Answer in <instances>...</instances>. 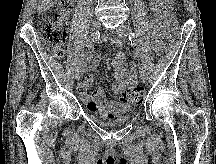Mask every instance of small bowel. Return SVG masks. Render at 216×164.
I'll list each match as a JSON object with an SVG mask.
<instances>
[{"label":"small bowel","mask_w":216,"mask_h":164,"mask_svg":"<svg viewBox=\"0 0 216 164\" xmlns=\"http://www.w3.org/2000/svg\"><path fill=\"white\" fill-rule=\"evenodd\" d=\"M174 0H150L153 13L151 20L153 46L157 51L162 49L166 25L173 10ZM95 65L94 59H89L83 66L89 70ZM116 83L112 86L113 93L119 97L117 102H108L102 88L89 92L92 77L88 76L78 85V92L87 109L102 119L113 118L131 109L125 101L126 92L137 84L135 64L127 65L123 52H118L112 62Z\"/></svg>","instance_id":"1"}]
</instances>
